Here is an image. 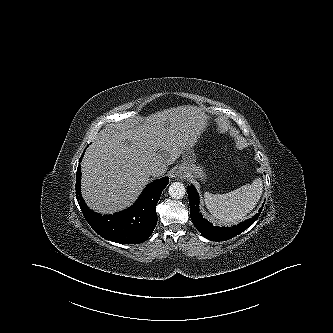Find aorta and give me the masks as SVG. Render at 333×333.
<instances>
[{
    "mask_svg": "<svg viewBox=\"0 0 333 333\" xmlns=\"http://www.w3.org/2000/svg\"><path fill=\"white\" fill-rule=\"evenodd\" d=\"M186 189L182 183L174 182L169 186V195L173 199H181L185 195Z\"/></svg>",
    "mask_w": 333,
    "mask_h": 333,
    "instance_id": "1",
    "label": "aorta"
}]
</instances>
